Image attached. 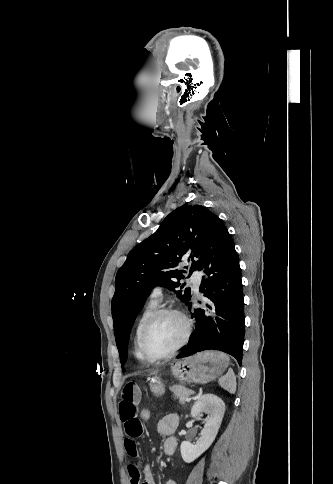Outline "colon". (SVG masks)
Here are the masks:
<instances>
[{
	"label": "colon",
	"instance_id": "1",
	"mask_svg": "<svg viewBox=\"0 0 333 484\" xmlns=\"http://www.w3.org/2000/svg\"><path fill=\"white\" fill-rule=\"evenodd\" d=\"M151 417H152V414H151V411L147 408H144L141 410L140 412V421L141 423H149L150 420H151Z\"/></svg>",
	"mask_w": 333,
	"mask_h": 484
}]
</instances>
